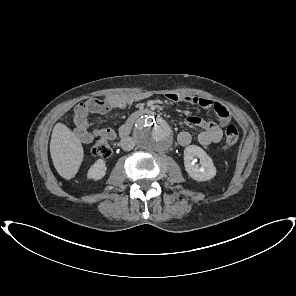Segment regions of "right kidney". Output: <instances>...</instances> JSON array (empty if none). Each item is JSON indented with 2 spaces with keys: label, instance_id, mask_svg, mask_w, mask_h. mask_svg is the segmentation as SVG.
<instances>
[{
  "label": "right kidney",
  "instance_id": "obj_1",
  "mask_svg": "<svg viewBox=\"0 0 296 296\" xmlns=\"http://www.w3.org/2000/svg\"><path fill=\"white\" fill-rule=\"evenodd\" d=\"M107 171L105 162L101 159L97 160L88 170L87 177L95 181L102 179Z\"/></svg>",
  "mask_w": 296,
  "mask_h": 296
}]
</instances>
